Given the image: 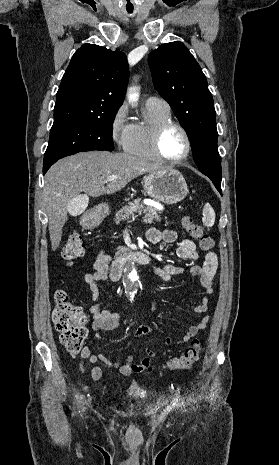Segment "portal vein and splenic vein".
Here are the masks:
<instances>
[{
    "label": "portal vein and splenic vein",
    "mask_w": 279,
    "mask_h": 465,
    "mask_svg": "<svg viewBox=\"0 0 279 465\" xmlns=\"http://www.w3.org/2000/svg\"><path fill=\"white\" fill-rule=\"evenodd\" d=\"M115 178H116L115 176H109L107 180H108V181H112V180H114Z\"/></svg>",
    "instance_id": "obj_1"
}]
</instances>
